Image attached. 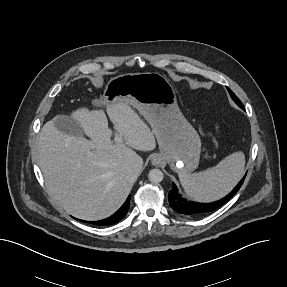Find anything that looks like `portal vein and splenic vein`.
Wrapping results in <instances>:
<instances>
[{
    "label": "portal vein and splenic vein",
    "mask_w": 287,
    "mask_h": 287,
    "mask_svg": "<svg viewBox=\"0 0 287 287\" xmlns=\"http://www.w3.org/2000/svg\"><path fill=\"white\" fill-rule=\"evenodd\" d=\"M115 142L116 143L122 142V137L117 132L115 133Z\"/></svg>",
    "instance_id": "portal-vein-and-splenic-vein-1"
}]
</instances>
